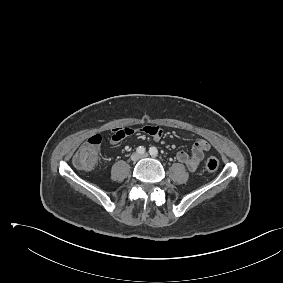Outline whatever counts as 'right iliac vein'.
<instances>
[{
  "label": "right iliac vein",
  "mask_w": 283,
  "mask_h": 283,
  "mask_svg": "<svg viewBox=\"0 0 283 283\" xmlns=\"http://www.w3.org/2000/svg\"><path fill=\"white\" fill-rule=\"evenodd\" d=\"M139 159H140L139 153H133V154L131 155V160H132V161H137V160H139Z\"/></svg>",
  "instance_id": "63e3f726"
}]
</instances>
